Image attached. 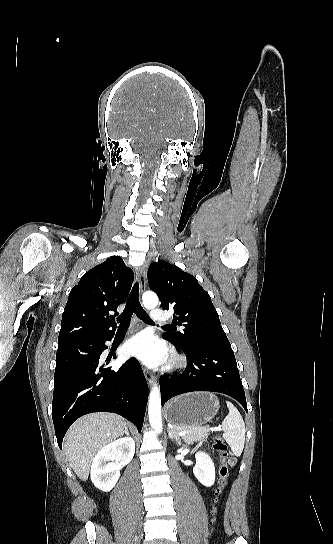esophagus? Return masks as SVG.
Listing matches in <instances>:
<instances>
[{
	"label": "esophagus",
	"instance_id": "34e87169",
	"mask_svg": "<svg viewBox=\"0 0 333 544\" xmlns=\"http://www.w3.org/2000/svg\"><path fill=\"white\" fill-rule=\"evenodd\" d=\"M138 279H139V287H140V293H142L146 287L147 282V269L146 265L142 266L141 269L138 271ZM145 378L150 386L154 385L155 378L154 376L148 372L146 369H144Z\"/></svg>",
	"mask_w": 333,
	"mask_h": 544
}]
</instances>
